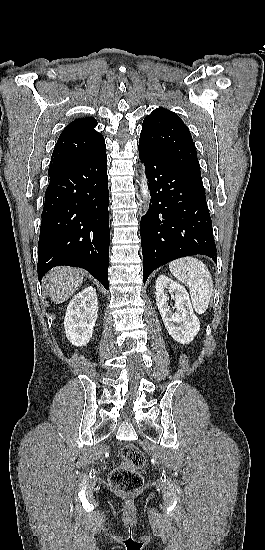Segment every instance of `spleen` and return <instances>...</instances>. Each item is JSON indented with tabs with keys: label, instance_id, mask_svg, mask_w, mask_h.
<instances>
[{
	"label": "spleen",
	"instance_id": "obj_1",
	"mask_svg": "<svg viewBox=\"0 0 265 550\" xmlns=\"http://www.w3.org/2000/svg\"><path fill=\"white\" fill-rule=\"evenodd\" d=\"M171 273L189 287L193 308L203 314L210 303L213 280L207 266L193 257L177 259L169 263Z\"/></svg>",
	"mask_w": 265,
	"mask_h": 550
}]
</instances>
